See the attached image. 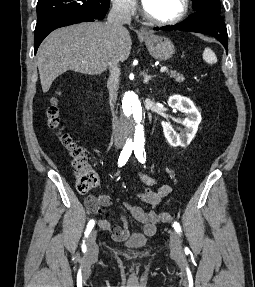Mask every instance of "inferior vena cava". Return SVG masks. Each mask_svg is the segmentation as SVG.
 <instances>
[{"label":"inferior vena cava","mask_w":255,"mask_h":287,"mask_svg":"<svg viewBox=\"0 0 255 287\" xmlns=\"http://www.w3.org/2000/svg\"><path fill=\"white\" fill-rule=\"evenodd\" d=\"M131 8L128 2L125 0H115L113 2V8L108 14L107 24L111 28L112 36L116 42L118 40L119 34L126 30L123 28V24H131L130 16ZM110 76L107 82V88L109 90L110 106L114 110V106L117 100L118 88H119V76H120V66L119 58L114 52V56L109 62ZM114 142L118 147H122L127 140V132L123 130L118 122V118H114Z\"/></svg>","instance_id":"602c4592"}]
</instances>
